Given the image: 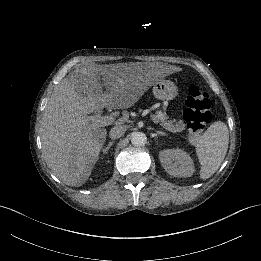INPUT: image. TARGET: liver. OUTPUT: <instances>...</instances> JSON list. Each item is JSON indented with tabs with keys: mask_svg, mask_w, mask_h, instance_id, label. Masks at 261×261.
Instances as JSON below:
<instances>
[{
	"mask_svg": "<svg viewBox=\"0 0 261 261\" xmlns=\"http://www.w3.org/2000/svg\"><path fill=\"white\" fill-rule=\"evenodd\" d=\"M158 65L81 66L55 87L39 133L45 163L58 179L72 187L88 181L108 133L96 120L104 108L128 109L138 103L167 74Z\"/></svg>",
	"mask_w": 261,
	"mask_h": 261,
	"instance_id": "6515ba94",
	"label": "liver"
}]
</instances>
